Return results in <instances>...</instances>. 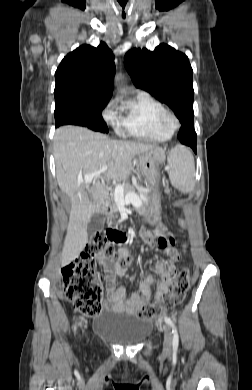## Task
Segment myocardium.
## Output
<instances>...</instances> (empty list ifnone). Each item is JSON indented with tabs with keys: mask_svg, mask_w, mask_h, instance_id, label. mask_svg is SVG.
<instances>
[{
	"mask_svg": "<svg viewBox=\"0 0 252 390\" xmlns=\"http://www.w3.org/2000/svg\"><path fill=\"white\" fill-rule=\"evenodd\" d=\"M158 121L163 129L170 132H174L180 126L178 116L172 110L166 108L160 112Z\"/></svg>",
	"mask_w": 252,
	"mask_h": 390,
	"instance_id": "obj_1",
	"label": "myocardium"
}]
</instances>
